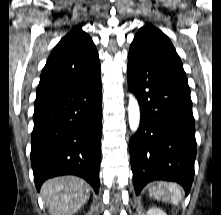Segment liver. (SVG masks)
<instances>
[{
  "label": "liver",
  "mask_w": 221,
  "mask_h": 215,
  "mask_svg": "<svg viewBox=\"0 0 221 215\" xmlns=\"http://www.w3.org/2000/svg\"><path fill=\"white\" fill-rule=\"evenodd\" d=\"M89 184L76 176H60L47 180L41 195L51 215H73L90 198Z\"/></svg>",
  "instance_id": "6515ba94"
}]
</instances>
